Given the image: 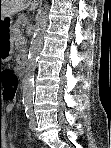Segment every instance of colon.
<instances>
[{"label": "colon", "mask_w": 111, "mask_h": 148, "mask_svg": "<svg viewBox=\"0 0 111 148\" xmlns=\"http://www.w3.org/2000/svg\"><path fill=\"white\" fill-rule=\"evenodd\" d=\"M0 87H2L3 98L7 101H14L18 90L17 76L9 70L0 71Z\"/></svg>", "instance_id": "5ec220e1"}]
</instances>
